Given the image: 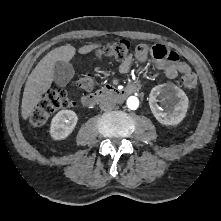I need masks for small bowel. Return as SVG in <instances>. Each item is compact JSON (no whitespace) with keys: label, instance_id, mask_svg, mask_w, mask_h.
Masks as SVG:
<instances>
[{"label":"small bowel","instance_id":"c3829d8e","mask_svg":"<svg viewBox=\"0 0 221 221\" xmlns=\"http://www.w3.org/2000/svg\"><path fill=\"white\" fill-rule=\"evenodd\" d=\"M149 55V48L146 44H139L136 47L134 57L143 63L147 60ZM151 58L159 69H161L165 76L169 79L176 78L179 74L191 72L190 66L179 60L177 53L168 49L166 46L158 44L151 49ZM133 56L129 55L121 61L119 71L121 73H128L131 69Z\"/></svg>","mask_w":221,"mask_h":221}]
</instances>
